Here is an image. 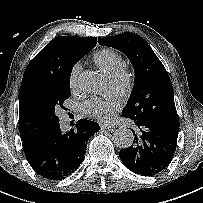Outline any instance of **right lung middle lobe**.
<instances>
[{
  "label": "right lung middle lobe",
  "mask_w": 203,
  "mask_h": 203,
  "mask_svg": "<svg viewBox=\"0 0 203 203\" xmlns=\"http://www.w3.org/2000/svg\"><path fill=\"white\" fill-rule=\"evenodd\" d=\"M74 63L68 68L65 74L53 76L36 90L35 100L37 106L41 115L51 125L56 126L59 124V118L56 115L57 111L60 108L65 109L63 102L71 95L70 75Z\"/></svg>",
  "instance_id": "right-lung-middle-lobe-1"
}]
</instances>
